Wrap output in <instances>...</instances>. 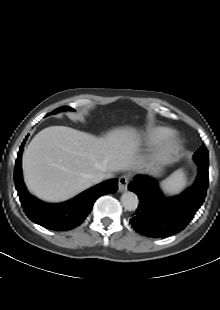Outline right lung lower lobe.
I'll use <instances>...</instances> for the list:
<instances>
[{
    "label": "right lung lower lobe",
    "instance_id": "1",
    "mask_svg": "<svg viewBox=\"0 0 220 310\" xmlns=\"http://www.w3.org/2000/svg\"><path fill=\"white\" fill-rule=\"evenodd\" d=\"M24 143L25 140L16 160L15 186L26 215L34 223L55 231L71 230L84 221L97 198L116 192L118 180L111 179L61 204H47L38 200L28 193L22 179L21 156Z\"/></svg>",
    "mask_w": 220,
    "mask_h": 310
}]
</instances>
